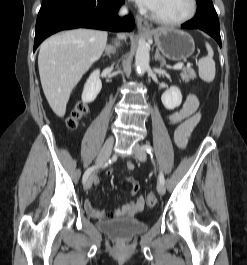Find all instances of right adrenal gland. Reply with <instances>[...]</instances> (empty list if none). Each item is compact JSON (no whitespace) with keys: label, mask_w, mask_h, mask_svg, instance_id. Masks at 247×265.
I'll return each instance as SVG.
<instances>
[{"label":"right adrenal gland","mask_w":247,"mask_h":265,"mask_svg":"<svg viewBox=\"0 0 247 265\" xmlns=\"http://www.w3.org/2000/svg\"><path fill=\"white\" fill-rule=\"evenodd\" d=\"M115 52L116 51H115L114 47L107 45L105 47V53L103 54V57L108 56L109 58H111V55H114Z\"/></svg>","instance_id":"1"}]
</instances>
